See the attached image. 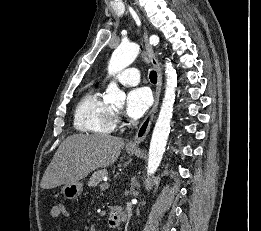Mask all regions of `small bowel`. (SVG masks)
Masks as SVG:
<instances>
[{
    "instance_id": "obj_1",
    "label": "small bowel",
    "mask_w": 261,
    "mask_h": 231,
    "mask_svg": "<svg viewBox=\"0 0 261 231\" xmlns=\"http://www.w3.org/2000/svg\"><path fill=\"white\" fill-rule=\"evenodd\" d=\"M68 212L64 205L62 204H55L52 206L50 210V216L52 218H58L60 216H67Z\"/></svg>"
}]
</instances>
